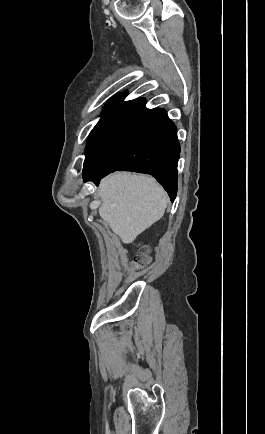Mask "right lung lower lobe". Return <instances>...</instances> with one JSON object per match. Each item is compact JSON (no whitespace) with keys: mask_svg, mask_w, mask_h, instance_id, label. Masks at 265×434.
<instances>
[{"mask_svg":"<svg viewBox=\"0 0 265 434\" xmlns=\"http://www.w3.org/2000/svg\"><path fill=\"white\" fill-rule=\"evenodd\" d=\"M123 93L103 123L84 162V181L114 171L151 174L173 202L180 145L177 128L163 109H147L144 99L124 102Z\"/></svg>","mask_w":265,"mask_h":434,"instance_id":"right-lung-lower-lobe-1","label":"right lung lower lobe"}]
</instances>
